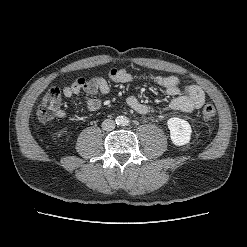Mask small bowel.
<instances>
[{
    "instance_id": "small-bowel-1",
    "label": "small bowel",
    "mask_w": 247,
    "mask_h": 247,
    "mask_svg": "<svg viewBox=\"0 0 247 247\" xmlns=\"http://www.w3.org/2000/svg\"><path fill=\"white\" fill-rule=\"evenodd\" d=\"M108 78L115 83H130L134 80L131 72L125 68L110 69ZM150 79L163 87L166 94L171 97V100L166 104V107L170 110L191 113L199 109L205 102V93L199 86L191 84L182 88L180 80L176 76H155ZM109 91V82L102 75L94 76L88 80L78 77L70 86L63 88V94L66 98L78 96L82 93L88 95H94L98 92L108 94ZM85 102L90 112L97 111L101 106V102L97 99L86 97ZM126 104L140 114H146L151 110L150 106L142 103L135 96L127 97ZM58 117H66L65 111L61 110Z\"/></svg>"
}]
</instances>
